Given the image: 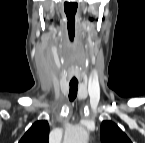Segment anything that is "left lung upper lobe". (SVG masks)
I'll return each mask as SVG.
<instances>
[{
  "instance_id": "1",
  "label": "left lung upper lobe",
  "mask_w": 145,
  "mask_h": 143,
  "mask_svg": "<svg viewBox=\"0 0 145 143\" xmlns=\"http://www.w3.org/2000/svg\"><path fill=\"white\" fill-rule=\"evenodd\" d=\"M100 136L101 143H131L127 135L111 121L102 122Z\"/></svg>"
}]
</instances>
